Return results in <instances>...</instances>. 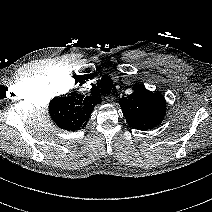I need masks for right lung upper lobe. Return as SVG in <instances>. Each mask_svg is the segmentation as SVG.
Returning a JSON list of instances; mask_svg holds the SVG:
<instances>
[{
    "mask_svg": "<svg viewBox=\"0 0 212 212\" xmlns=\"http://www.w3.org/2000/svg\"><path fill=\"white\" fill-rule=\"evenodd\" d=\"M99 103L101 98L95 93L85 97L71 92L68 96L54 98L49 104V113L58 127L76 131L87 125L95 105Z\"/></svg>",
    "mask_w": 212,
    "mask_h": 212,
    "instance_id": "cb5924a9",
    "label": "right lung upper lobe"
}]
</instances>
